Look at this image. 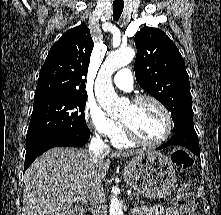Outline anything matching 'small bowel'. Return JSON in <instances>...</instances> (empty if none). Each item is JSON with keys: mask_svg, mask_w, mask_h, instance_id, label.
I'll return each instance as SVG.
<instances>
[{"mask_svg": "<svg viewBox=\"0 0 221 215\" xmlns=\"http://www.w3.org/2000/svg\"><path fill=\"white\" fill-rule=\"evenodd\" d=\"M134 215H179V212L174 207L164 208L162 206L154 207H137L134 210Z\"/></svg>", "mask_w": 221, "mask_h": 215, "instance_id": "small-bowel-1", "label": "small bowel"}]
</instances>
